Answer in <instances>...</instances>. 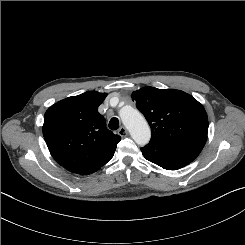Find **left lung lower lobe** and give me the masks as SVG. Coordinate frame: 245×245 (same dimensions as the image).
Here are the masks:
<instances>
[{
  "instance_id": "left-lung-lower-lobe-1",
  "label": "left lung lower lobe",
  "mask_w": 245,
  "mask_h": 245,
  "mask_svg": "<svg viewBox=\"0 0 245 245\" xmlns=\"http://www.w3.org/2000/svg\"><path fill=\"white\" fill-rule=\"evenodd\" d=\"M143 156L167 170L180 169L197 158L198 155L150 141L141 148Z\"/></svg>"
}]
</instances>
